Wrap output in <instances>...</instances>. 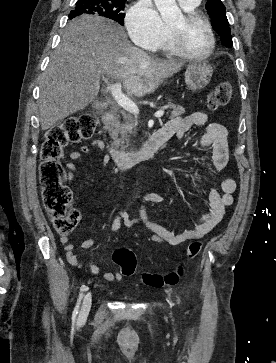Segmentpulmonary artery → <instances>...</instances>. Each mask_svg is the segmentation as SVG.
<instances>
[{"label": "pulmonary artery", "mask_w": 276, "mask_h": 363, "mask_svg": "<svg viewBox=\"0 0 276 363\" xmlns=\"http://www.w3.org/2000/svg\"><path fill=\"white\" fill-rule=\"evenodd\" d=\"M200 0H178L180 5L185 9H191L196 7L199 4Z\"/></svg>", "instance_id": "obj_1"}]
</instances>
